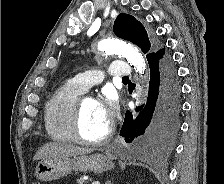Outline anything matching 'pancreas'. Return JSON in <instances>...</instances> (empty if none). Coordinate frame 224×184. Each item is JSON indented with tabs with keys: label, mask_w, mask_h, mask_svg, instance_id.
<instances>
[{
	"label": "pancreas",
	"mask_w": 224,
	"mask_h": 184,
	"mask_svg": "<svg viewBox=\"0 0 224 184\" xmlns=\"http://www.w3.org/2000/svg\"><path fill=\"white\" fill-rule=\"evenodd\" d=\"M77 184H85V181L82 178H80L77 180Z\"/></svg>",
	"instance_id": "cf45deb5"
}]
</instances>
